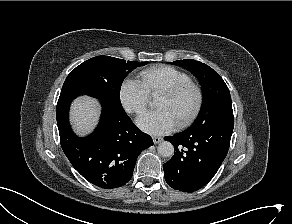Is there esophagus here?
Segmentation results:
<instances>
[{
  "label": "esophagus",
  "mask_w": 292,
  "mask_h": 224,
  "mask_svg": "<svg viewBox=\"0 0 292 224\" xmlns=\"http://www.w3.org/2000/svg\"><path fill=\"white\" fill-rule=\"evenodd\" d=\"M152 139H153L154 144H158L161 141H163V138L162 137H158V136H153Z\"/></svg>",
  "instance_id": "obj_1"
}]
</instances>
